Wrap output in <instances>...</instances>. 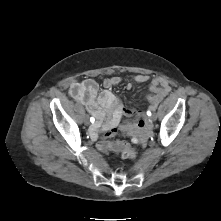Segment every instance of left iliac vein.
Segmentation results:
<instances>
[{
    "label": "left iliac vein",
    "mask_w": 221,
    "mask_h": 221,
    "mask_svg": "<svg viewBox=\"0 0 221 221\" xmlns=\"http://www.w3.org/2000/svg\"><path fill=\"white\" fill-rule=\"evenodd\" d=\"M156 118H157L156 114H155V113H154V114H152V116H151V120L155 121V120H156Z\"/></svg>",
    "instance_id": "obj_1"
}]
</instances>
